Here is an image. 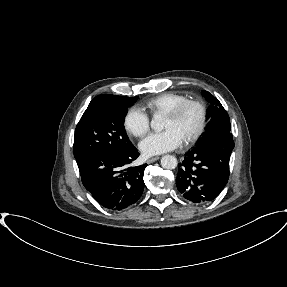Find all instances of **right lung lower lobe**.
I'll use <instances>...</instances> for the list:
<instances>
[{
	"instance_id": "right-lung-lower-lobe-1",
	"label": "right lung lower lobe",
	"mask_w": 287,
	"mask_h": 287,
	"mask_svg": "<svg viewBox=\"0 0 287 287\" xmlns=\"http://www.w3.org/2000/svg\"><path fill=\"white\" fill-rule=\"evenodd\" d=\"M138 156L135 147L126 153H99L79 167L83 185L102 207L121 211L139 200L147 164L128 167Z\"/></svg>"
}]
</instances>
